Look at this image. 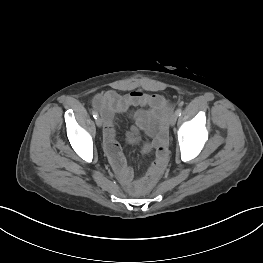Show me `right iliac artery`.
<instances>
[{
	"mask_svg": "<svg viewBox=\"0 0 263 263\" xmlns=\"http://www.w3.org/2000/svg\"><path fill=\"white\" fill-rule=\"evenodd\" d=\"M92 115H93V117H94L95 119H97L98 116H99L98 113H97L96 111H93V112H92Z\"/></svg>",
	"mask_w": 263,
	"mask_h": 263,
	"instance_id": "82829eb1",
	"label": "right iliac artery"
}]
</instances>
